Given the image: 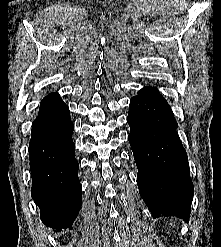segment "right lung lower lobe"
Listing matches in <instances>:
<instances>
[{"instance_id": "98d812e1", "label": "right lung lower lobe", "mask_w": 221, "mask_h": 247, "mask_svg": "<svg viewBox=\"0 0 221 247\" xmlns=\"http://www.w3.org/2000/svg\"><path fill=\"white\" fill-rule=\"evenodd\" d=\"M73 129L69 108L59 94L43 98L29 144L31 194L42 222L55 231L72 229L82 205Z\"/></svg>"}]
</instances>
